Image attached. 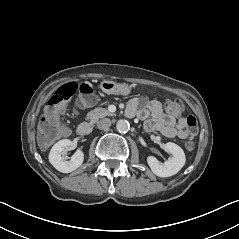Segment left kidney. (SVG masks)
I'll return each instance as SVG.
<instances>
[{
  "mask_svg": "<svg viewBox=\"0 0 239 239\" xmlns=\"http://www.w3.org/2000/svg\"><path fill=\"white\" fill-rule=\"evenodd\" d=\"M165 151L172 155V158L160 163L156 158L150 157L148 164L151 171L158 177H170L178 173L186 162L183 150L175 143L169 142L165 145Z\"/></svg>",
  "mask_w": 239,
  "mask_h": 239,
  "instance_id": "left-kidney-1",
  "label": "left kidney"
}]
</instances>
